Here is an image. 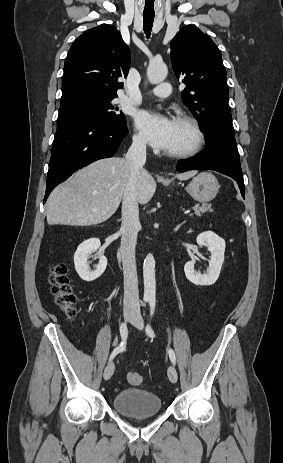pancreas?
<instances>
[{
  "label": "pancreas",
  "instance_id": "1",
  "mask_svg": "<svg viewBox=\"0 0 283 463\" xmlns=\"http://www.w3.org/2000/svg\"><path fill=\"white\" fill-rule=\"evenodd\" d=\"M193 209H194V214H196L197 216H200L201 213L212 212V211H213V209L211 208V206H210V205H207V204H204V205H202V206H200V205L197 204V205H195V206L193 207Z\"/></svg>",
  "mask_w": 283,
  "mask_h": 463
}]
</instances>
